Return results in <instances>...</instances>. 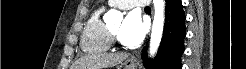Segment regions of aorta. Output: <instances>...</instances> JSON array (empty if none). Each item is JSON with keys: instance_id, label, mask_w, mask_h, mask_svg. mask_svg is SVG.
Instances as JSON below:
<instances>
[{"instance_id": "762f6f07", "label": "aorta", "mask_w": 246, "mask_h": 69, "mask_svg": "<svg viewBox=\"0 0 246 69\" xmlns=\"http://www.w3.org/2000/svg\"><path fill=\"white\" fill-rule=\"evenodd\" d=\"M154 4V20L152 24L151 38H150V56L153 57L159 48L164 27L165 19V1L164 0H153ZM123 15L114 9H111L105 14L104 20L106 22L122 19Z\"/></svg>"}]
</instances>
